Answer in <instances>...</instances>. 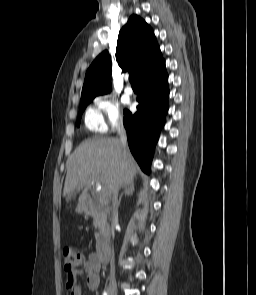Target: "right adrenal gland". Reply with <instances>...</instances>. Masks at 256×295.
I'll return each mask as SVG.
<instances>
[{"label":"right adrenal gland","instance_id":"2a0ac1e0","mask_svg":"<svg viewBox=\"0 0 256 295\" xmlns=\"http://www.w3.org/2000/svg\"><path fill=\"white\" fill-rule=\"evenodd\" d=\"M133 192H134V185L133 184L127 185L124 188L123 193L120 195L118 205H120V202H121V199H122L123 195H132Z\"/></svg>","mask_w":256,"mask_h":295}]
</instances>
